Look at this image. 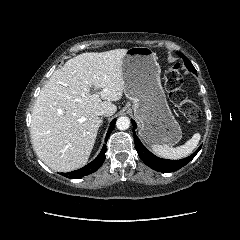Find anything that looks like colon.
<instances>
[{
  "label": "colon",
  "mask_w": 240,
  "mask_h": 240,
  "mask_svg": "<svg viewBox=\"0 0 240 240\" xmlns=\"http://www.w3.org/2000/svg\"><path fill=\"white\" fill-rule=\"evenodd\" d=\"M182 76L178 64L171 65L165 72L164 84L170 100L187 118L195 120L200 117V109L191 101L182 89Z\"/></svg>",
  "instance_id": "5ec220e1"
}]
</instances>
